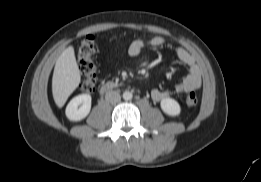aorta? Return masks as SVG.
I'll return each mask as SVG.
<instances>
[{
    "label": "aorta",
    "instance_id": "obj_1",
    "mask_svg": "<svg viewBox=\"0 0 261 182\" xmlns=\"http://www.w3.org/2000/svg\"><path fill=\"white\" fill-rule=\"evenodd\" d=\"M132 97H133V95H132V92H130V91H125L124 93H123V99L124 100H131L132 99Z\"/></svg>",
    "mask_w": 261,
    "mask_h": 182
}]
</instances>
